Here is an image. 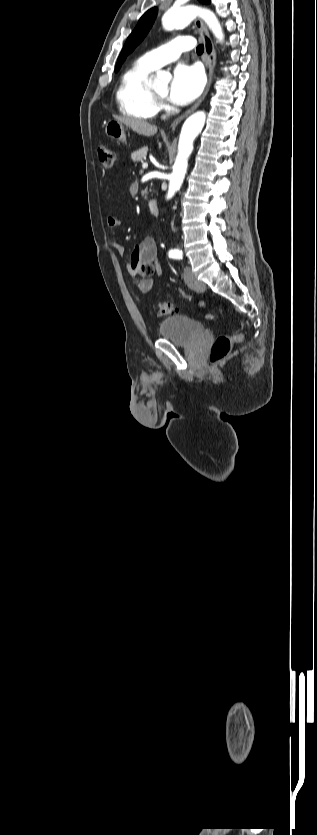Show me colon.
Returning a JSON list of instances; mask_svg holds the SVG:
<instances>
[{"label":"colon","instance_id":"obj_1","mask_svg":"<svg viewBox=\"0 0 317 835\" xmlns=\"http://www.w3.org/2000/svg\"><path fill=\"white\" fill-rule=\"evenodd\" d=\"M98 157L105 169H111L115 163V153L114 151L106 146L101 145L98 148ZM139 273L133 275V282L135 285H139L141 280V275L151 276L154 272V266L150 262H142L138 267ZM175 312V307L172 302L169 301H161L158 302L155 306V314L157 316H167L171 315ZM206 318L212 319L213 316L211 314H207ZM242 334H235V335H221L214 341L211 351H210V362L215 364L222 361L231 351L232 346L234 343L239 342L242 339Z\"/></svg>","mask_w":317,"mask_h":835}]
</instances>
